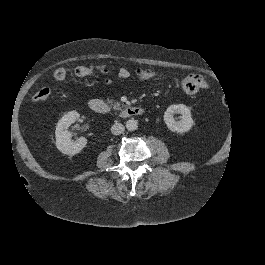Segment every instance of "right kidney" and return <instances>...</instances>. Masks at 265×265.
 Listing matches in <instances>:
<instances>
[{"label":"right kidney","mask_w":265,"mask_h":265,"mask_svg":"<svg viewBox=\"0 0 265 265\" xmlns=\"http://www.w3.org/2000/svg\"><path fill=\"white\" fill-rule=\"evenodd\" d=\"M78 118L79 114L77 112H69L59 120L56 126V148L63 155L74 156L79 154L88 144L86 138H79L73 141V134L68 130L69 126L77 121Z\"/></svg>","instance_id":"ca27d5eb"}]
</instances>
